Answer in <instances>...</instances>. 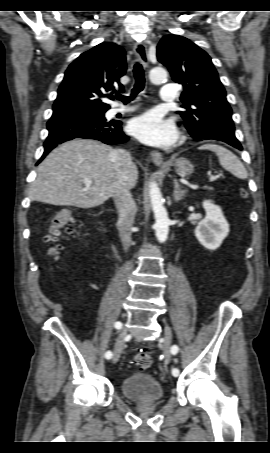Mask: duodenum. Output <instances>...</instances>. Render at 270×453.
<instances>
[{"instance_id":"1","label":"duodenum","mask_w":270,"mask_h":453,"mask_svg":"<svg viewBox=\"0 0 270 453\" xmlns=\"http://www.w3.org/2000/svg\"><path fill=\"white\" fill-rule=\"evenodd\" d=\"M102 232L105 233V228L103 226L100 227Z\"/></svg>"}]
</instances>
